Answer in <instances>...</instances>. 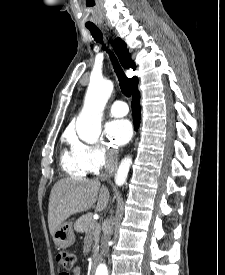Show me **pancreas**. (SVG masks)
Wrapping results in <instances>:
<instances>
[{"label":"pancreas","mask_w":225,"mask_h":275,"mask_svg":"<svg viewBox=\"0 0 225 275\" xmlns=\"http://www.w3.org/2000/svg\"><path fill=\"white\" fill-rule=\"evenodd\" d=\"M74 229L78 233H85L92 237L96 244L99 241L100 225L92 218L91 213L81 216L75 222Z\"/></svg>","instance_id":"1"}]
</instances>
